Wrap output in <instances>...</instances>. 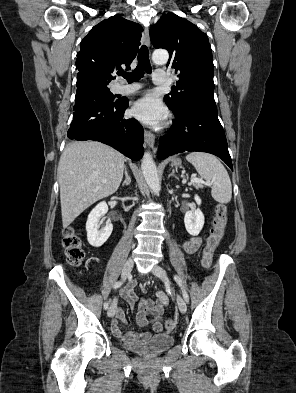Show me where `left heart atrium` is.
<instances>
[{
  "label": "left heart atrium",
  "instance_id": "obj_1",
  "mask_svg": "<svg viewBox=\"0 0 296 393\" xmlns=\"http://www.w3.org/2000/svg\"><path fill=\"white\" fill-rule=\"evenodd\" d=\"M131 114L147 125L159 126L166 119L167 110L157 96L148 93L133 104Z\"/></svg>",
  "mask_w": 296,
  "mask_h": 393
}]
</instances>
